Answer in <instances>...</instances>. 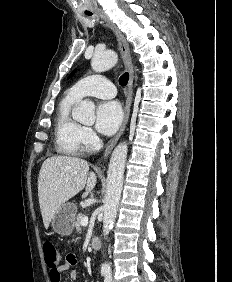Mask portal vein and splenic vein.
<instances>
[{
  "label": "portal vein and splenic vein",
  "mask_w": 232,
  "mask_h": 282,
  "mask_svg": "<svg viewBox=\"0 0 232 282\" xmlns=\"http://www.w3.org/2000/svg\"><path fill=\"white\" fill-rule=\"evenodd\" d=\"M81 224H82V226H87L88 225V217L87 216H84L81 219Z\"/></svg>",
  "instance_id": "obj_1"
}]
</instances>
